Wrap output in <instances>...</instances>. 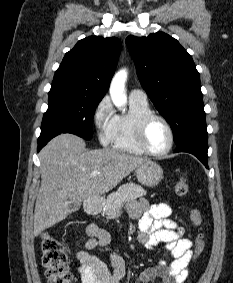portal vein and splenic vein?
<instances>
[{
	"label": "portal vein and splenic vein",
	"instance_id": "18ae733b",
	"mask_svg": "<svg viewBox=\"0 0 233 283\" xmlns=\"http://www.w3.org/2000/svg\"><path fill=\"white\" fill-rule=\"evenodd\" d=\"M99 174H100V172L93 171V172L90 174V176L94 177V176H97V175H99Z\"/></svg>",
	"mask_w": 233,
	"mask_h": 283
}]
</instances>
